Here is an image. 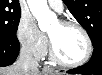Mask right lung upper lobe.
I'll return each instance as SVG.
<instances>
[{
	"instance_id": "cb5924a9",
	"label": "right lung upper lobe",
	"mask_w": 102,
	"mask_h": 75,
	"mask_svg": "<svg viewBox=\"0 0 102 75\" xmlns=\"http://www.w3.org/2000/svg\"><path fill=\"white\" fill-rule=\"evenodd\" d=\"M0 3L19 5V0H0Z\"/></svg>"
}]
</instances>
